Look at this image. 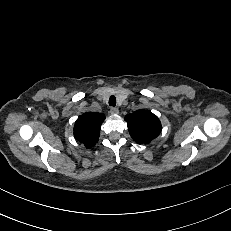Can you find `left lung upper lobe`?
Wrapping results in <instances>:
<instances>
[{
    "instance_id": "obj_1",
    "label": "left lung upper lobe",
    "mask_w": 231,
    "mask_h": 231,
    "mask_svg": "<svg viewBox=\"0 0 231 231\" xmlns=\"http://www.w3.org/2000/svg\"><path fill=\"white\" fill-rule=\"evenodd\" d=\"M131 137L140 144H147L161 132V123L149 110H138L125 116Z\"/></svg>"
}]
</instances>
